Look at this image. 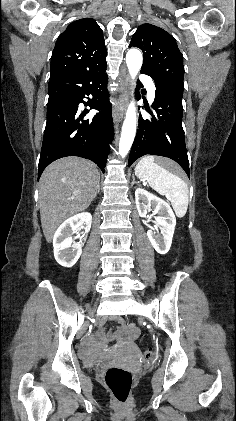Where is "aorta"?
<instances>
[{
    "label": "aorta",
    "instance_id": "aorta-1",
    "mask_svg": "<svg viewBox=\"0 0 236 421\" xmlns=\"http://www.w3.org/2000/svg\"><path fill=\"white\" fill-rule=\"evenodd\" d=\"M126 62L131 78H136L143 62L142 54L137 48H130L126 54ZM137 124V114L134 98L128 104L122 132L119 140V154L122 158L128 154L134 140Z\"/></svg>",
    "mask_w": 236,
    "mask_h": 421
}]
</instances>
